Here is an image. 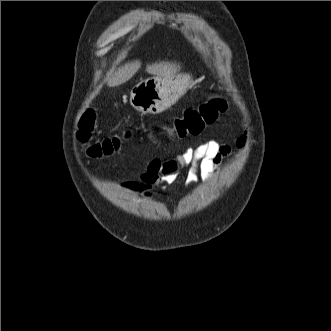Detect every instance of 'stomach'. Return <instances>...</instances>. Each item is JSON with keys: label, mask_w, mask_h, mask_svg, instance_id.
Here are the masks:
<instances>
[{"label": "stomach", "mask_w": 331, "mask_h": 331, "mask_svg": "<svg viewBox=\"0 0 331 331\" xmlns=\"http://www.w3.org/2000/svg\"><path fill=\"white\" fill-rule=\"evenodd\" d=\"M190 84V76L151 77L136 84L130 93L132 107L144 114H158L174 104Z\"/></svg>", "instance_id": "0dacf381"}]
</instances>
